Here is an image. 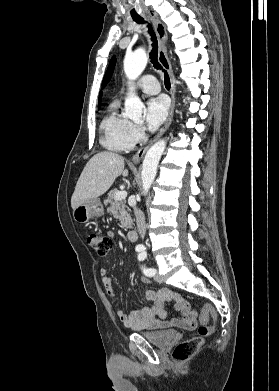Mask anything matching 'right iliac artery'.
<instances>
[{
  "mask_svg": "<svg viewBox=\"0 0 279 391\" xmlns=\"http://www.w3.org/2000/svg\"><path fill=\"white\" fill-rule=\"evenodd\" d=\"M140 250H141L140 248L137 249V251H140Z\"/></svg>",
  "mask_w": 279,
  "mask_h": 391,
  "instance_id": "right-iliac-artery-1",
  "label": "right iliac artery"
}]
</instances>
